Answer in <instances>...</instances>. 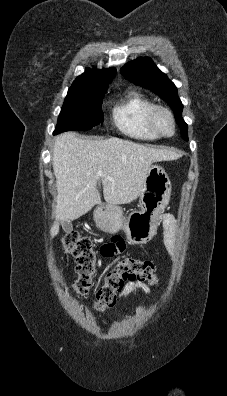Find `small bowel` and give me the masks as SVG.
Instances as JSON below:
<instances>
[{
  "instance_id": "obj_1",
  "label": "small bowel",
  "mask_w": 227,
  "mask_h": 396,
  "mask_svg": "<svg viewBox=\"0 0 227 396\" xmlns=\"http://www.w3.org/2000/svg\"><path fill=\"white\" fill-rule=\"evenodd\" d=\"M163 244L167 251L174 255L176 251V243L174 237L175 220L172 215L165 214L163 216ZM125 248L124 241L119 237H114L111 241L102 245L100 252L105 257H111L115 254L121 253ZM149 292V288L141 283L130 282L127 283L122 291L120 298L124 299L136 291Z\"/></svg>"
}]
</instances>
